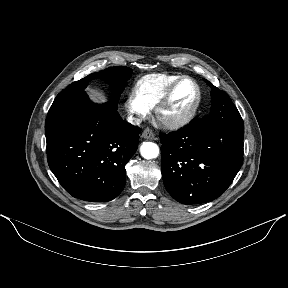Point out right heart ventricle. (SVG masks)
<instances>
[{
	"label": "right heart ventricle",
	"instance_id": "1",
	"mask_svg": "<svg viewBox=\"0 0 288 288\" xmlns=\"http://www.w3.org/2000/svg\"><path fill=\"white\" fill-rule=\"evenodd\" d=\"M180 76L174 74H151L141 78L135 85V94L150 109L160 102L171 84Z\"/></svg>",
	"mask_w": 288,
	"mask_h": 288
}]
</instances>
